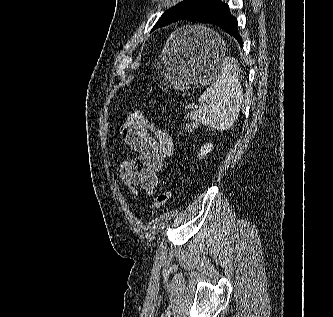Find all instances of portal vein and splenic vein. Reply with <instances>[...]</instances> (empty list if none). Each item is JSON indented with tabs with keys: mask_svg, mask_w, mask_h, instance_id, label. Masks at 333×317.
<instances>
[{
	"mask_svg": "<svg viewBox=\"0 0 333 317\" xmlns=\"http://www.w3.org/2000/svg\"><path fill=\"white\" fill-rule=\"evenodd\" d=\"M196 108L197 106H194V105H187V106H185V109H192V108Z\"/></svg>",
	"mask_w": 333,
	"mask_h": 317,
	"instance_id": "18ae733b",
	"label": "portal vein and splenic vein"
}]
</instances>
